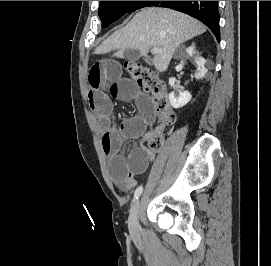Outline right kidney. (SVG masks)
I'll use <instances>...</instances> for the list:
<instances>
[{"label": "right kidney", "instance_id": "obj_1", "mask_svg": "<svg viewBox=\"0 0 271 266\" xmlns=\"http://www.w3.org/2000/svg\"><path fill=\"white\" fill-rule=\"evenodd\" d=\"M192 57L197 65V71L195 73V78L200 79L204 77V75L207 72V69L205 68V59L200 56L198 52H196L195 47L193 45L187 47L184 51L183 58H189ZM175 78L169 79V84L175 88ZM192 96L187 91H180L177 92H171L169 94V101L173 108H181L185 106L188 102H190Z\"/></svg>", "mask_w": 271, "mask_h": 266}]
</instances>
